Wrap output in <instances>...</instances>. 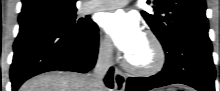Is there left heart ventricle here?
<instances>
[{
    "instance_id": "b2bd125f",
    "label": "left heart ventricle",
    "mask_w": 220,
    "mask_h": 91,
    "mask_svg": "<svg viewBox=\"0 0 220 91\" xmlns=\"http://www.w3.org/2000/svg\"><path fill=\"white\" fill-rule=\"evenodd\" d=\"M153 50L151 44L144 38L142 43L128 57L129 61L136 66H147L152 62Z\"/></svg>"
}]
</instances>
